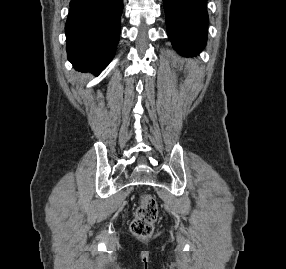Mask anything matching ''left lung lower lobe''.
Here are the masks:
<instances>
[{
  "label": "left lung lower lobe",
  "mask_w": 286,
  "mask_h": 269,
  "mask_svg": "<svg viewBox=\"0 0 286 269\" xmlns=\"http://www.w3.org/2000/svg\"><path fill=\"white\" fill-rule=\"evenodd\" d=\"M167 32L174 48L185 56L198 54L207 37V0H163Z\"/></svg>",
  "instance_id": "1"
}]
</instances>
